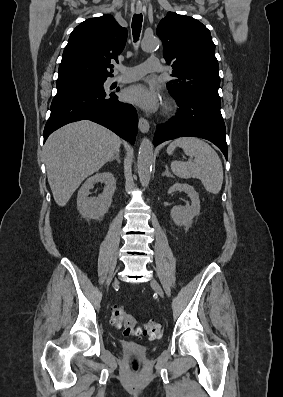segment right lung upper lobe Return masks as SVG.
I'll return each mask as SVG.
<instances>
[{
	"instance_id": "cb5924a9",
	"label": "right lung upper lobe",
	"mask_w": 283,
	"mask_h": 397,
	"mask_svg": "<svg viewBox=\"0 0 283 397\" xmlns=\"http://www.w3.org/2000/svg\"><path fill=\"white\" fill-rule=\"evenodd\" d=\"M127 29L111 15L90 18L71 33L59 65L57 81L75 78L107 79L110 61L125 47Z\"/></svg>"
}]
</instances>
